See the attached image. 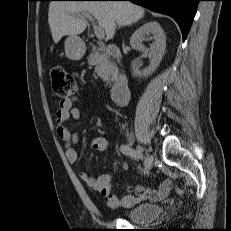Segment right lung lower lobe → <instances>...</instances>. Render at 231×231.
I'll use <instances>...</instances> for the list:
<instances>
[{
    "label": "right lung lower lobe",
    "instance_id": "right-lung-lower-lobe-1",
    "mask_svg": "<svg viewBox=\"0 0 231 231\" xmlns=\"http://www.w3.org/2000/svg\"><path fill=\"white\" fill-rule=\"evenodd\" d=\"M97 1V0H90ZM113 1V0H112ZM121 1V0H114ZM131 1L154 12L171 16L178 23L183 41L186 39L200 0H122Z\"/></svg>",
    "mask_w": 231,
    "mask_h": 231
}]
</instances>
